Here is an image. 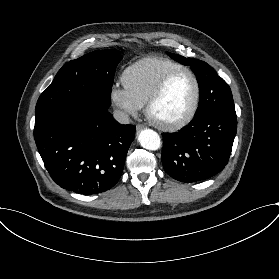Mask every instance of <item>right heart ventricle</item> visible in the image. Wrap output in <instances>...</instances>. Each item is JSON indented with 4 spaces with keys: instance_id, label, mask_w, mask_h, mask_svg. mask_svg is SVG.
Returning <instances> with one entry per match:
<instances>
[{
    "instance_id": "right-heart-ventricle-1",
    "label": "right heart ventricle",
    "mask_w": 279,
    "mask_h": 279,
    "mask_svg": "<svg viewBox=\"0 0 279 279\" xmlns=\"http://www.w3.org/2000/svg\"><path fill=\"white\" fill-rule=\"evenodd\" d=\"M186 68L184 65L165 58L142 59L127 69L124 83L145 102L169 73Z\"/></svg>"
}]
</instances>
